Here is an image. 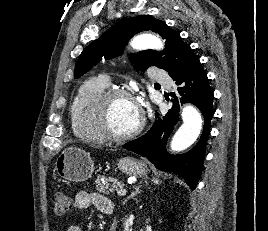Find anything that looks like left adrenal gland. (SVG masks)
Returning <instances> with one entry per match:
<instances>
[{"instance_id":"obj_1","label":"left adrenal gland","mask_w":268,"mask_h":231,"mask_svg":"<svg viewBox=\"0 0 268 231\" xmlns=\"http://www.w3.org/2000/svg\"><path fill=\"white\" fill-rule=\"evenodd\" d=\"M140 188H141V183L138 185V186H135L134 187V191L131 192V194L124 200L123 204H126V202L132 198H134L137 194H139L141 191H140Z\"/></svg>"}]
</instances>
